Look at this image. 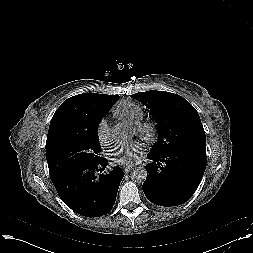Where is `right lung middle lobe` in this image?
Wrapping results in <instances>:
<instances>
[{
	"instance_id": "dd1d6c3e",
	"label": "right lung middle lobe",
	"mask_w": 253,
	"mask_h": 253,
	"mask_svg": "<svg viewBox=\"0 0 253 253\" xmlns=\"http://www.w3.org/2000/svg\"><path fill=\"white\" fill-rule=\"evenodd\" d=\"M102 116L88 128H63L46 142L49 173L53 174L88 163H97L101 146L98 125Z\"/></svg>"
}]
</instances>
